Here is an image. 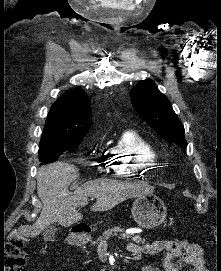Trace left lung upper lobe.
I'll list each match as a JSON object with an SVG mask.
<instances>
[{
	"label": "left lung upper lobe",
	"instance_id": "left-lung-upper-lobe-1",
	"mask_svg": "<svg viewBox=\"0 0 221 271\" xmlns=\"http://www.w3.org/2000/svg\"><path fill=\"white\" fill-rule=\"evenodd\" d=\"M130 95L134 109L160 136L182 148L187 146L183 124L152 80L139 81Z\"/></svg>",
	"mask_w": 221,
	"mask_h": 271
}]
</instances>
